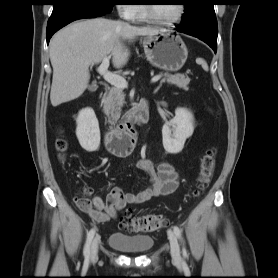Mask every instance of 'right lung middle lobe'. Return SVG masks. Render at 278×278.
<instances>
[{
    "instance_id": "obj_1",
    "label": "right lung middle lobe",
    "mask_w": 278,
    "mask_h": 278,
    "mask_svg": "<svg viewBox=\"0 0 278 278\" xmlns=\"http://www.w3.org/2000/svg\"><path fill=\"white\" fill-rule=\"evenodd\" d=\"M52 4V14L69 6H82L98 11L110 12L114 5L113 0H52Z\"/></svg>"
}]
</instances>
